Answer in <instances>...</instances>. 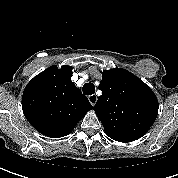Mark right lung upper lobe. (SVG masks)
<instances>
[{
	"instance_id": "1",
	"label": "right lung upper lobe",
	"mask_w": 178,
	"mask_h": 178,
	"mask_svg": "<svg viewBox=\"0 0 178 178\" xmlns=\"http://www.w3.org/2000/svg\"><path fill=\"white\" fill-rule=\"evenodd\" d=\"M72 67L51 66L26 86L22 109L26 119L41 134L60 138L68 135L93 107L71 81Z\"/></svg>"
}]
</instances>
